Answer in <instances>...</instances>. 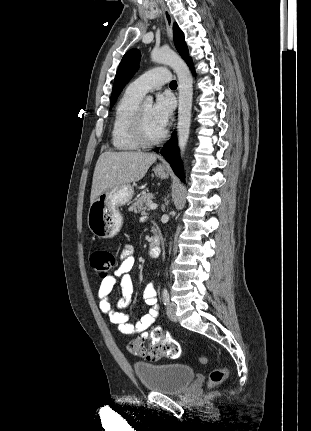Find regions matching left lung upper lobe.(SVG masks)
<instances>
[{"label":"left lung upper lobe","instance_id":"left-lung-upper-lobe-1","mask_svg":"<svg viewBox=\"0 0 311 431\" xmlns=\"http://www.w3.org/2000/svg\"><path fill=\"white\" fill-rule=\"evenodd\" d=\"M173 36L177 51L182 58L188 62L191 58L188 54L187 45L184 42V34L178 27L177 23L173 24ZM140 57V52L137 49H131L123 56L115 76L110 107L115 104L124 86L138 70Z\"/></svg>","mask_w":311,"mask_h":431}]
</instances>
